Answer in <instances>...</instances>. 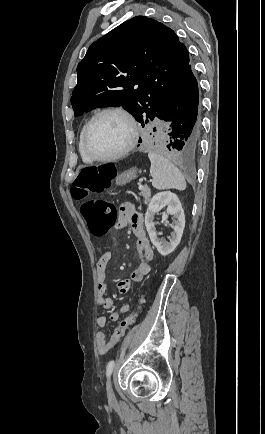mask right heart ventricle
<instances>
[{
    "instance_id": "e07e8e85",
    "label": "right heart ventricle",
    "mask_w": 265,
    "mask_h": 434,
    "mask_svg": "<svg viewBox=\"0 0 265 434\" xmlns=\"http://www.w3.org/2000/svg\"><path fill=\"white\" fill-rule=\"evenodd\" d=\"M86 125H87V123H85L82 126L81 130H80V133H79V136H78V140H77V152H78L79 159H80V161H81L82 164H84V165H92L94 162L91 161L90 159H88L83 154L82 146H81V139H82V136L84 135V132H85V129H86Z\"/></svg>"
}]
</instances>
